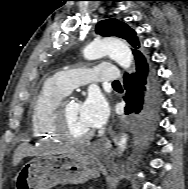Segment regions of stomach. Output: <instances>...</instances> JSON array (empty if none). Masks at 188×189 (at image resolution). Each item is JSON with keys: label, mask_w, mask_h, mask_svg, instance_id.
Segmentation results:
<instances>
[{"label": "stomach", "mask_w": 188, "mask_h": 189, "mask_svg": "<svg viewBox=\"0 0 188 189\" xmlns=\"http://www.w3.org/2000/svg\"><path fill=\"white\" fill-rule=\"evenodd\" d=\"M96 154L47 155L26 163L15 177V189H50L57 184H82L100 174Z\"/></svg>", "instance_id": "0dacf381"}]
</instances>
